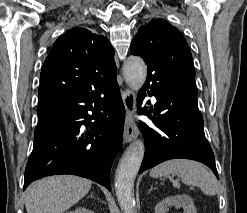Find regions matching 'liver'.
Returning a JSON list of instances; mask_svg holds the SVG:
<instances>
[{
	"mask_svg": "<svg viewBox=\"0 0 247 213\" xmlns=\"http://www.w3.org/2000/svg\"><path fill=\"white\" fill-rule=\"evenodd\" d=\"M91 185L90 180L72 175L43 178L25 192L27 213H63L81 200Z\"/></svg>",
	"mask_w": 247,
	"mask_h": 213,
	"instance_id": "liver-1",
	"label": "liver"
}]
</instances>
